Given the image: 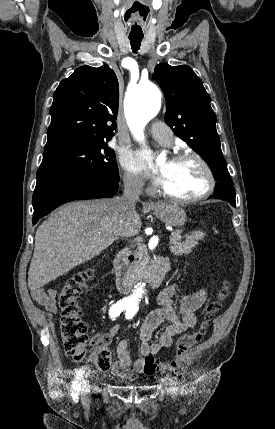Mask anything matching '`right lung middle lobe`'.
<instances>
[{
	"mask_svg": "<svg viewBox=\"0 0 275 429\" xmlns=\"http://www.w3.org/2000/svg\"><path fill=\"white\" fill-rule=\"evenodd\" d=\"M87 175L119 181L114 151L104 140L89 144H68L44 152L36 174L35 188L66 177Z\"/></svg>",
	"mask_w": 275,
	"mask_h": 429,
	"instance_id": "obj_1",
	"label": "right lung middle lobe"
}]
</instances>
